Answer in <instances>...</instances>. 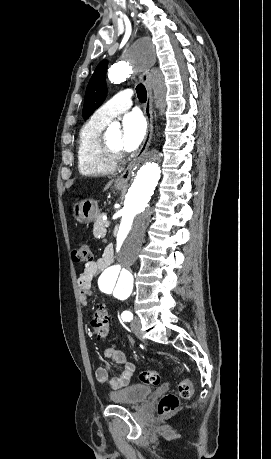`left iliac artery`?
I'll use <instances>...</instances> for the list:
<instances>
[{
    "label": "left iliac artery",
    "mask_w": 271,
    "mask_h": 459,
    "mask_svg": "<svg viewBox=\"0 0 271 459\" xmlns=\"http://www.w3.org/2000/svg\"><path fill=\"white\" fill-rule=\"evenodd\" d=\"M121 318L123 321H131L133 319V314L130 311H124L121 314Z\"/></svg>",
    "instance_id": "left-iliac-artery-1"
}]
</instances>
